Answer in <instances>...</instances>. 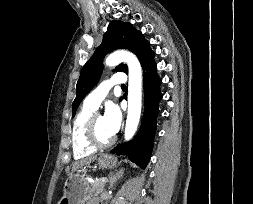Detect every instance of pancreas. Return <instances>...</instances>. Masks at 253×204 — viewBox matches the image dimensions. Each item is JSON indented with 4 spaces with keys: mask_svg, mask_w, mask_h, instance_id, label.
Returning <instances> with one entry per match:
<instances>
[{
    "mask_svg": "<svg viewBox=\"0 0 253 204\" xmlns=\"http://www.w3.org/2000/svg\"><path fill=\"white\" fill-rule=\"evenodd\" d=\"M90 184V190L94 194L98 195L104 190L105 183H102L100 181L89 183Z\"/></svg>",
    "mask_w": 253,
    "mask_h": 204,
    "instance_id": "1",
    "label": "pancreas"
}]
</instances>
